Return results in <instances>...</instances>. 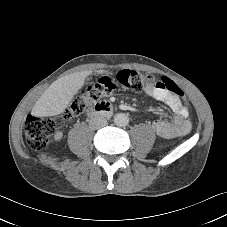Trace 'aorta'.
<instances>
[{"mask_svg": "<svg viewBox=\"0 0 227 227\" xmlns=\"http://www.w3.org/2000/svg\"><path fill=\"white\" fill-rule=\"evenodd\" d=\"M114 123L117 125V126H120V127H123V126H126L128 125L129 123V118L126 114L124 113H118L115 115L114 117Z\"/></svg>", "mask_w": 227, "mask_h": 227, "instance_id": "1", "label": "aorta"}]
</instances>
